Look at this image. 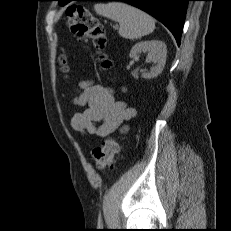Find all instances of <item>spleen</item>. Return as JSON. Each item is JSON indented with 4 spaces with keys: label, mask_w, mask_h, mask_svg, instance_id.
Returning <instances> with one entry per match:
<instances>
[{
    "label": "spleen",
    "mask_w": 231,
    "mask_h": 231,
    "mask_svg": "<svg viewBox=\"0 0 231 231\" xmlns=\"http://www.w3.org/2000/svg\"><path fill=\"white\" fill-rule=\"evenodd\" d=\"M94 10L98 15L119 23V35L126 39H138L155 29L153 17L122 2L97 3Z\"/></svg>",
    "instance_id": "obj_1"
}]
</instances>
